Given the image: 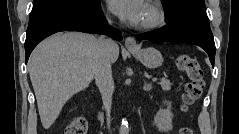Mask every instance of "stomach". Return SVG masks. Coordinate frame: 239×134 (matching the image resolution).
Returning <instances> with one entry per match:
<instances>
[{
    "instance_id": "stomach-1",
    "label": "stomach",
    "mask_w": 239,
    "mask_h": 134,
    "mask_svg": "<svg viewBox=\"0 0 239 134\" xmlns=\"http://www.w3.org/2000/svg\"><path fill=\"white\" fill-rule=\"evenodd\" d=\"M129 50L133 54V56L137 58L147 68L154 69L162 65V55L157 49L153 47L145 49L136 48Z\"/></svg>"
}]
</instances>
